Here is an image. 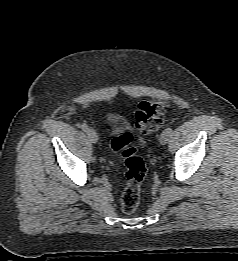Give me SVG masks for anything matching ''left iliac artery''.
<instances>
[{
    "instance_id": "left-iliac-artery-1",
    "label": "left iliac artery",
    "mask_w": 238,
    "mask_h": 261,
    "mask_svg": "<svg viewBox=\"0 0 238 261\" xmlns=\"http://www.w3.org/2000/svg\"><path fill=\"white\" fill-rule=\"evenodd\" d=\"M166 130H167L169 133L172 132V128H167Z\"/></svg>"
}]
</instances>
